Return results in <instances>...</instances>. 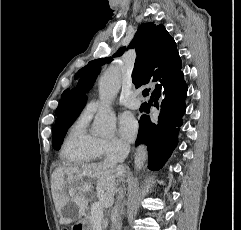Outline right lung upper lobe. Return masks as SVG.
I'll return each mask as SVG.
<instances>
[{
    "label": "right lung upper lobe",
    "instance_id": "obj_1",
    "mask_svg": "<svg viewBox=\"0 0 241 230\" xmlns=\"http://www.w3.org/2000/svg\"><path fill=\"white\" fill-rule=\"evenodd\" d=\"M129 48H136L137 57L132 74V81L136 88L145 84L157 85L166 76L182 66L176 43L162 24L157 26L151 22L142 24L137 30ZM124 51L125 48L122 47L114 56H120ZM111 61L112 58L93 60L82 68L75 75V78L83 75L88 69L90 70ZM68 92L69 89L63 92L56 114L61 110L64 98Z\"/></svg>",
    "mask_w": 241,
    "mask_h": 230
}]
</instances>
